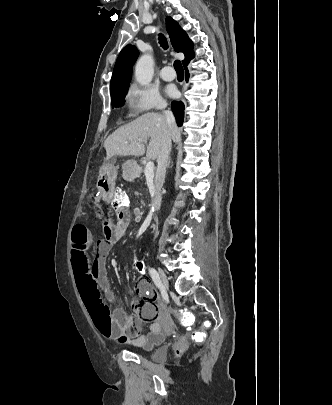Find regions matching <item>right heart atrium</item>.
Segmentation results:
<instances>
[{"mask_svg":"<svg viewBox=\"0 0 332 405\" xmlns=\"http://www.w3.org/2000/svg\"><path fill=\"white\" fill-rule=\"evenodd\" d=\"M128 101L131 111L138 115L161 110L166 106L165 99L157 89L136 84L129 89Z\"/></svg>","mask_w":332,"mask_h":405,"instance_id":"obj_1","label":"right heart atrium"}]
</instances>
